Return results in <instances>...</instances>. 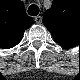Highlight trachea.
<instances>
[{"instance_id":"3493384b","label":"trachea","mask_w":80,"mask_h":80,"mask_svg":"<svg viewBox=\"0 0 80 80\" xmlns=\"http://www.w3.org/2000/svg\"><path fill=\"white\" fill-rule=\"evenodd\" d=\"M39 13V7L35 4L30 5V7L28 8V14L30 16H36Z\"/></svg>"}]
</instances>
